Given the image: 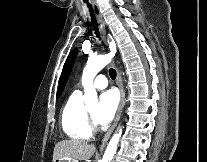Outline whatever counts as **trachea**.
Wrapping results in <instances>:
<instances>
[{"instance_id":"3493384b","label":"trachea","mask_w":207,"mask_h":162,"mask_svg":"<svg viewBox=\"0 0 207 162\" xmlns=\"http://www.w3.org/2000/svg\"><path fill=\"white\" fill-rule=\"evenodd\" d=\"M84 2L87 3V6L89 8V11H90V15H91V21H92V26L95 30V34L96 36L99 38L100 35H99V30H98V26H97V22H96V19H95V16H94V13H93V10H92V7L91 5L88 3V0H83ZM109 75L112 79H115L116 78V71L114 69H110L109 70Z\"/></svg>"}]
</instances>
